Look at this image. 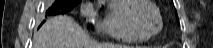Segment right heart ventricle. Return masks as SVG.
Here are the masks:
<instances>
[{
  "mask_svg": "<svg viewBox=\"0 0 213 48\" xmlns=\"http://www.w3.org/2000/svg\"><path fill=\"white\" fill-rule=\"evenodd\" d=\"M132 1L112 0L98 24L99 31L123 42L140 43L146 41L147 38L137 34L128 21L127 11Z\"/></svg>",
  "mask_w": 213,
  "mask_h": 48,
  "instance_id": "e07e8e85",
  "label": "right heart ventricle"
}]
</instances>
